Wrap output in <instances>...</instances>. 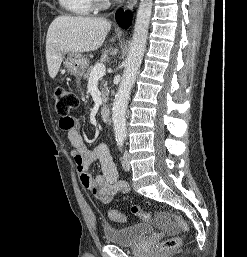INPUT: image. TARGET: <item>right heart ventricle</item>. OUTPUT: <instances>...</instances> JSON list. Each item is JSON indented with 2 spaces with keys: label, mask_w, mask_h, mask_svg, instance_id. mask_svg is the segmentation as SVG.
Returning a JSON list of instances; mask_svg holds the SVG:
<instances>
[{
  "label": "right heart ventricle",
  "mask_w": 247,
  "mask_h": 257,
  "mask_svg": "<svg viewBox=\"0 0 247 257\" xmlns=\"http://www.w3.org/2000/svg\"><path fill=\"white\" fill-rule=\"evenodd\" d=\"M60 6L75 16L88 15L94 8V0H58Z\"/></svg>",
  "instance_id": "obj_1"
}]
</instances>
